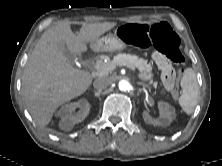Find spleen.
Wrapping results in <instances>:
<instances>
[{
  "instance_id": "3e777b00",
  "label": "spleen",
  "mask_w": 222,
  "mask_h": 166,
  "mask_svg": "<svg viewBox=\"0 0 222 166\" xmlns=\"http://www.w3.org/2000/svg\"><path fill=\"white\" fill-rule=\"evenodd\" d=\"M180 85L182 94L179 98V105L186 114L190 115L194 112L199 93L196 74L192 68L185 69Z\"/></svg>"
}]
</instances>
